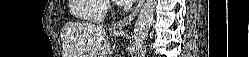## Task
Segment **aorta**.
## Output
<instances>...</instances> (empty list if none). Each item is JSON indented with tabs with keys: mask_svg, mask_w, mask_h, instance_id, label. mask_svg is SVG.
I'll return each mask as SVG.
<instances>
[{
	"mask_svg": "<svg viewBox=\"0 0 249 57\" xmlns=\"http://www.w3.org/2000/svg\"><path fill=\"white\" fill-rule=\"evenodd\" d=\"M155 6L156 0H146V2L142 5L134 26L132 55H139L142 51L143 43L152 24Z\"/></svg>",
	"mask_w": 249,
	"mask_h": 57,
	"instance_id": "aorta-1",
	"label": "aorta"
}]
</instances>
